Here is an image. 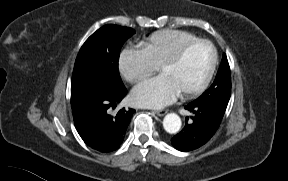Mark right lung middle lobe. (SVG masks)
<instances>
[{"instance_id":"obj_1","label":"right lung middle lobe","mask_w":288,"mask_h":181,"mask_svg":"<svg viewBox=\"0 0 288 181\" xmlns=\"http://www.w3.org/2000/svg\"><path fill=\"white\" fill-rule=\"evenodd\" d=\"M135 31L129 27L105 25L92 34L81 47L71 80L73 115L80 114L91 89L103 84L113 90L124 86L118 70L120 49Z\"/></svg>"}]
</instances>
